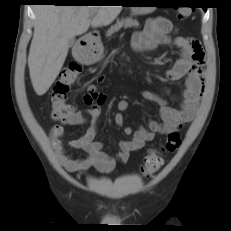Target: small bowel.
Segmentation results:
<instances>
[{"label": "small bowel", "mask_w": 231, "mask_h": 231, "mask_svg": "<svg viewBox=\"0 0 231 231\" xmlns=\"http://www.w3.org/2000/svg\"><path fill=\"white\" fill-rule=\"evenodd\" d=\"M175 27L166 18L158 17L150 20L146 27L136 32L132 37V46L137 52H149L159 44H174L180 50V58L175 65L167 71L169 80L177 81L183 79L185 88L182 92V102L179 109L172 108L157 94L145 92L144 97L150 101L161 104V123L149 122V130L140 128L133 131L130 127L124 128L126 135L132 136L130 140H122L119 143V152L115 157L107 155L103 151V144L96 139L97 124L101 113V105L105 102L104 94L100 93L92 83L87 84L83 95L85 104L89 106L87 112L77 111L67 121L70 126H79L88 123L87 131L79 138L65 140L64 128L55 125L51 128L49 140L55 156L60 164L68 172H85L89 168H97L111 171L117 162H128L132 152L142 149L146 142L152 141L156 134H168L182 128L190 122L198 109L203 92L204 75V51L201 43L191 37L177 36L171 38ZM98 82L104 80L98 77ZM117 112L114 121L118 126L125 124L124 111L129 103L126 99L117 102ZM83 150L86 155L83 158H73L66 152L65 146Z\"/></svg>", "instance_id": "small-bowel-1"}]
</instances>
